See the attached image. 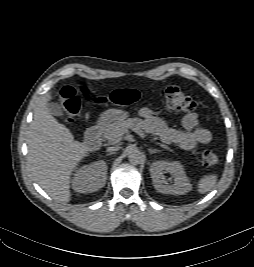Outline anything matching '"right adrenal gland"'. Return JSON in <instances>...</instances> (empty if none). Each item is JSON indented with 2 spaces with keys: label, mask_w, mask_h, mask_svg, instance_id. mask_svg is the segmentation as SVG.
I'll return each mask as SVG.
<instances>
[{
  "label": "right adrenal gland",
  "mask_w": 254,
  "mask_h": 267,
  "mask_svg": "<svg viewBox=\"0 0 254 267\" xmlns=\"http://www.w3.org/2000/svg\"><path fill=\"white\" fill-rule=\"evenodd\" d=\"M115 154L114 152L108 153L107 156Z\"/></svg>",
  "instance_id": "obj_1"
}]
</instances>
